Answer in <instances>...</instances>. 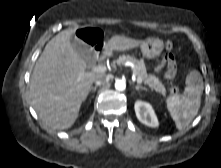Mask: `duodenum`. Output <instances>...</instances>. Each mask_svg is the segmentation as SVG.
I'll list each match as a JSON object with an SVG mask.
<instances>
[{
    "label": "duodenum",
    "mask_w": 221,
    "mask_h": 168,
    "mask_svg": "<svg viewBox=\"0 0 221 168\" xmlns=\"http://www.w3.org/2000/svg\"><path fill=\"white\" fill-rule=\"evenodd\" d=\"M106 54V46L102 42L94 45V56L97 60H101Z\"/></svg>",
    "instance_id": "410a0bca"
}]
</instances>
